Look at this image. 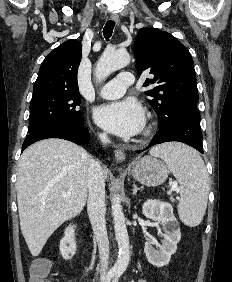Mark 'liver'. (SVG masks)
<instances>
[{"label":"liver","instance_id":"obj_1","mask_svg":"<svg viewBox=\"0 0 232 282\" xmlns=\"http://www.w3.org/2000/svg\"><path fill=\"white\" fill-rule=\"evenodd\" d=\"M90 160L82 147L57 138L36 142L23 152L17 202L22 235L34 257L62 223L84 208Z\"/></svg>","mask_w":232,"mask_h":282}]
</instances>
